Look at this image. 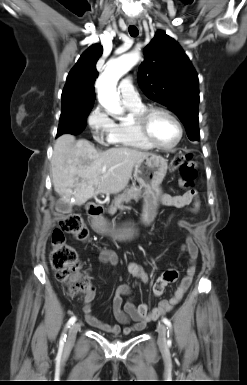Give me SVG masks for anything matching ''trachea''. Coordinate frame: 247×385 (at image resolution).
<instances>
[{
    "instance_id": "1",
    "label": "trachea",
    "mask_w": 247,
    "mask_h": 385,
    "mask_svg": "<svg viewBox=\"0 0 247 385\" xmlns=\"http://www.w3.org/2000/svg\"><path fill=\"white\" fill-rule=\"evenodd\" d=\"M129 34L132 36V37H136L138 34H139V31L138 29L136 28V26H129Z\"/></svg>"
}]
</instances>
